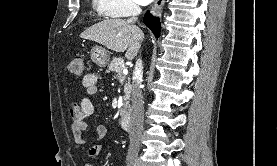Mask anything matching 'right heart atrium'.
I'll use <instances>...</instances> for the list:
<instances>
[{"mask_svg": "<svg viewBox=\"0 0 277 166\" xmlns=\"http://www.w3.org/2000/svg\"><path fill=\"white\" fill-rule=\"evenodd\" d=\"M104 2L114 16H128L138 11L135 0H104Z\"/></svg>", "mask_w": 277, "mask_h": 166, "instance_id": "d8ad5b80", "label": "right heart atrium"}]
</instances>
